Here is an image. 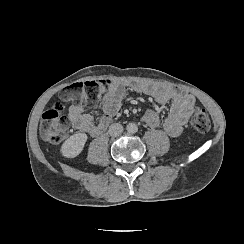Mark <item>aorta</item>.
Returning <instances> with one entry per match:
<instances>
[{
  "instance_id": "aorta-1",
  "label": "aorta",
  "mask_w": 244,
  "mask_h": 244,
  "mask_svg": "<svg viewBox=\"0 0 244 244\" xmlns=\"http://www.w3.org/2000/svg\"><path fill=\"white\" fill-rule=\"evenodd\" d=\"M126 130L128 133L134 134L138 131V126L135 123H129L126 126Z\"/></svg>"
}]
</instances>
